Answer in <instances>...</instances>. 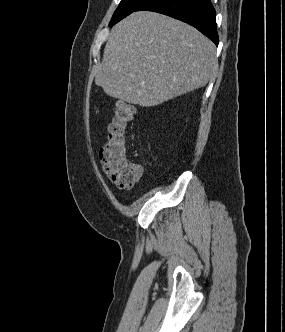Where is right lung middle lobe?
I'll list each match as a JSON object with an SVG mask.
<instances>
[{"mask_svg": "<svg viewBox=\"0 0 285 332\" xmlns=\"http://www.w3.org/2000/svg\"><path fill=\"white\" fill-rule=\"evenodd\" d=\"M147 0H121L118 8L114 12L109 26H112L125 18L130 13L134 12L138 7L144 4Z\"/></svg>", "mask_w": 285, "mask_h": 332, "instance_id": "right-lung-middle-lobe-1", "label": "right lung middle lobe"}]
</instances>
